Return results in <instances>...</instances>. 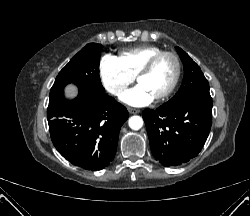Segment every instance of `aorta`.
Segmentation results:
<instances>
[{
    "label": "aorta",
    "mask_w": 250,
    "mask_h": 216,
    "mask_svg": "<svg viewBox=\"0 0 250 216\" xmlns=\"http://www.w3.org/2000/svg\"><path fill=\"white\" fill-rule=\"evenodd\" d=\"M128 125L132 130H139L143 126V119L140 116L129 118Z\"/></svg>",
    "instance_id": "obj_1"
}]
</instances>
